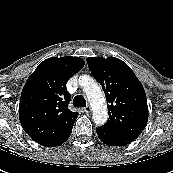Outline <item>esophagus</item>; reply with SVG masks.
Returning <instances> with one entry per match:
<instances>
[{
	"label": "esophagus",
	"instance_id": "1",
	"mask_svg": "<svg viewBox=\"0 0 173 173\" xmlns=\"http://www.w3.org/2000/svg\"><path fill=\"white\" fill-rule=\"evenodd\" d=\"M91 106L90 105H87L85 108H84V111L86 112V113H90L91 112Z\"/></svg>",
	"mask_w": 173,
	"mask_h": 173
}]
</instances>
